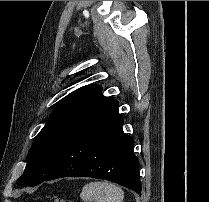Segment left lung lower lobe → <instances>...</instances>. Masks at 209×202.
Segmentation results:
<instances>
[{
  "label": "left lung lower lobe",
  "mask_w": 209,
  "mask_h": 202,
  "mask_svg": "<svg viewBox=\"0 0 209 202\" xmlns=\"http://www.w3.org/2000/svg\"><path fill=\"white\" fill-rule=\"evenodd\" d=\"M119 103L112 100L92 114L66 144L56 166L44 180L61 177L106 179L141 193L134 140L124 134Z\"/></svg>",
  "instance_id": "0a47b994"
}]
</instances>
